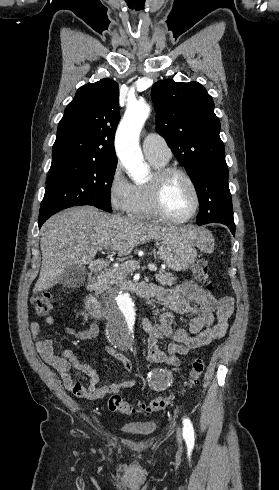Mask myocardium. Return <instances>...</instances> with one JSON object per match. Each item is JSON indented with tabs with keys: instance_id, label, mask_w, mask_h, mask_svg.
<instances>
[{
	"instance_id": "1",
	"label": "myocardium",
	"mask_w": 279,
	"mask_h": 490,
	"mask_svg": "<svg viewBox=\"0 0 279 490\" xmlns=\"http://www.w3.org/2000/svg\"><path fill=\"white\" fill-rule=\"evenodd\" d=\"M174 175H179L184 177L191 185L194 192V197H195L194 206L191 212L186 217L183 218L171 217L165 210L163 204V195H164L166 184L169 178ZM150 185H151V195H150L151 207L156 217L169 223L181 224L190 221L197 214L201 204L200 190L194 178L184 168L179 166H164L158 168L157 171L155 172L152 181L150 182Z\"/></svg>"
}]
</instances>
